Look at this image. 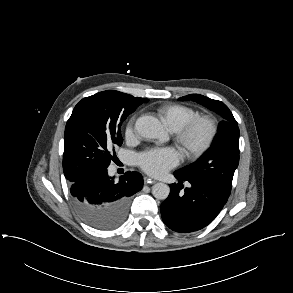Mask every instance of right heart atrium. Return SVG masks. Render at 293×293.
Here are the masks:
<instances>
[{"mask_svg": "<svg viewBox=\"0 0 293 293\" xmlns=\"http://www.w3.org/2000/svg\"><path fill=\"white\" fill-rule=\"evenodd\" d=\"M134 133V118H130L125 127V136L131 137Z\"/></svg>", "mask_w": 293, "mask_h": 293, "instance_id": "obj_1", "label": "right heart atrium"}]
</instances>
